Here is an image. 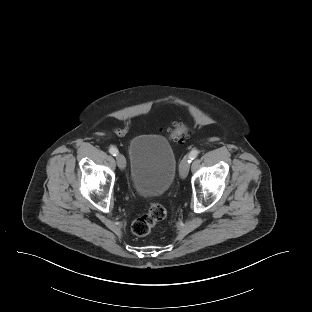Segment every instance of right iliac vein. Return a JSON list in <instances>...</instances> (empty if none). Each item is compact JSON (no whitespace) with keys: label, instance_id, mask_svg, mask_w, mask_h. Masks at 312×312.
Segmentation results:
<instances>
[{"label":"right iliac vein","instance_id":"right-iliac-vein-1","mask_svg":"<svg viewBox=\"0 0 312 312\" xmlns=\"http://www.w3.org/2000/svg\"><path fill=\"white\" fill-rule=\"evenodd\" d=\"M116 161H117L118 167L121 170L125 169V167H126V159H125V157L122 154H118L116 156Z\"/></svg>","mask_w":312,"mask_h":312}]
</instances>
